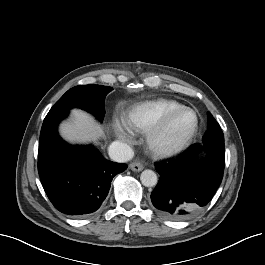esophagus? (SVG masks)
<instances>
[{
    "instance_id": "obj_1",
    "label": "esophagus",
    "mask_w": 265,
    "mask_h": 265,
    "mask_svg": "<svg viewBox=\"0 0 265 265\" xmlns=\"http://www.w3.org/2000/svg\"><path fill=\"white\" fill-rule=\"evenodd\" d=\"M129 168L134 172H140L143 170V165L138 161H134L130 163Z\"/></svg>"
}]
</instances>
